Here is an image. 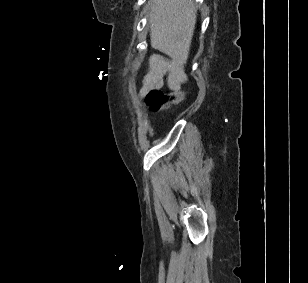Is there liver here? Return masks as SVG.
Segmentation results:
<instances>
[{"instance_id": "obj_1", "label": "liver", "mask_w": 308, "mask_h": 283, "mask_svg": "<svg viewBox=\"0 0 308 283\" xmlns=\"http://www.w3.org/2000/svg\"><path fill=\"white\" fill-rule=\"evenodd\" d=\"M150 43L176 63L187 60L196 24L192 0H150Z\"/></svg>"}]
</instances>
